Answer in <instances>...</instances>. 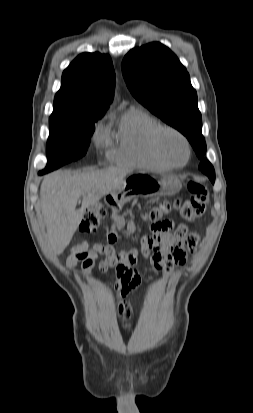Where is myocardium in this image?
I'll return each mask as SVG.
<instances>
[{
    "instance_id": "1",
    "label": "myocardium",
    "mask_w": 253,
    "mask_h": 413,
    "mask_svg": "<svg viewBox=\"0 0 253 413\" xmlns=\"http://www.w3.org/2000/svg\"><path fill=\"white\" fill-rule=\"evenodd\" d=\"M165 134L176 135L183 142L186 148V152H187L186 159L183 163H175L166 154L163 148V143H162V139ZM151 142H152V147H153L155 154L170 167H174V168L184 167L191 158V145H190L189 140L181 131H179L178 129L172 126H168V125L158 126L152 134Z\"/></svg>"
}]
</instances>
